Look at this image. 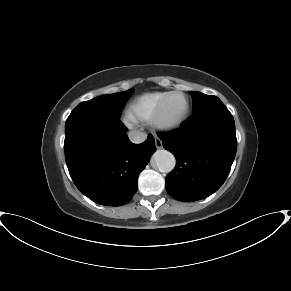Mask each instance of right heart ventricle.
Returning a JSON list of instances; mask_svg holds the SVG:
<instances>
[{
	"mask_svg": "<svg viewBox=\"0 0 291 291\" xmlns=\"http://www.w3.org/2000/svg\"><path fill=\"white\" fill-rule=\"evenodd\" d=\"M169 92L145 93L132 99L127 105V114L133 121H150L156 108Z\"/></svg>",
	"mask_w": 291,
	"mask_h": 291,
	"instance_id": "right-heart-ventricle-1",
	"label": "right heart ventricle"
}]
</instances>
